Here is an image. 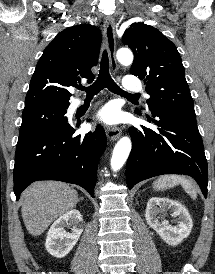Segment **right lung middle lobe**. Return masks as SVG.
<instances>
[{"instance_id":"right-lung-middle-lobe-1","label":"right lung middle lobe","mask_w":215,"mask_h":274,"mask_svg":"<svg viewBox=\"0 0 215 274\" xmlns=\"http://www.w3.org/2000/svg\"><path fill=\"white\" fill-rule=\"evenodd\" d=\"M67 108V106L60 105H44L23 110L17 145L25 142L37 133L67 121V118L64 116Z\"/></svg>"}]
</instances>
